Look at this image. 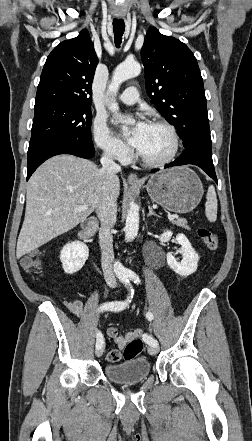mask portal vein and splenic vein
Listing matches in <instances>:
<instances>
[{
	"label": "portal vein and splenic vein",
	"mask_w": 252,
	"mask_h": 441,
	"mask_svg": "<svg viewBox=\"0 0 252 441\" xmlns=\"http://www.w3.org/2000/svg\"><path fill=\"white\" fill-rule=\"evenodd\" d=\"M88 207L87 206H79L78 208H76L77 211H84L86 210ZM179 216L178 215H172L170 216V220H175L178 219Z\"/></svg>",
	"instance_id": "obj_1"
}]
</instances>
